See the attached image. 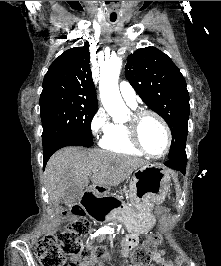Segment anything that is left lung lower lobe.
Wrapping results in <instances>:
<instances>
[{
    "instance_id": "obj_1",
    "label": "left lung lower lobe",
    "mask_w": 221,
    "mask_h": 266,
    "mask_svg": "<svg viewBox=\"0 0 221 266\" xmlns=\"http://www.w3.org/2000/svg\"><path fill=\"white\" fill-rule=\"evenodd\" d=\"M187 156L186 152L177 153L169 157V160L165 163L168 167L181 171L185 174L186 171Z\"/></svg>"
}]
</instances>
